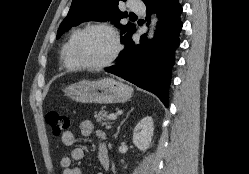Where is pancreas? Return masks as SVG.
Returning <instances> with one entry per match:
<instances>
[{
	"mask_svg": "<svg viewBox=\"0 0 249 174\" xmlns=\"http://www.w3.org/2000/svg\"><path fill=\"white\" fill-rule=\"evenodd\" d=\"M95 118L97 122L104 124L106 129L111 128L112 122L110 121L109 116L107 115V112L104 111L103 109L99 112H95Z\"/></svg>",
	"mask_w": 249,
	"mask_h": 174,
	"instance_id": "obj_1",
	"label": "pancreas"
}]
</instances>
